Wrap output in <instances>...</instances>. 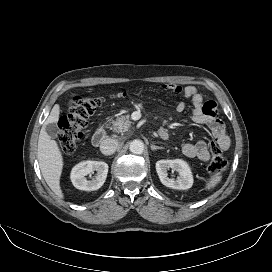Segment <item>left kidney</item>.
Masks as SVG:
<instances>
[{
  "label": "left kidney",
  "mask_w": 272,
  "mask_h": 272,
  "mask_svg": "<svg viewBox=\"0 0 272 272\" xmlns=\"http://www.w3.org/2000/svg\"><path fill=\"white\" fill-rule=\"evenodd\" d=\"M176 171L177 179L168 177V169ZM156 171L163 185L172 189L186 190L193 185V176L187 162L181 159L159 160L156 162Z\"/></svg>",
  "instance_id": "1"
}]
</instances>
